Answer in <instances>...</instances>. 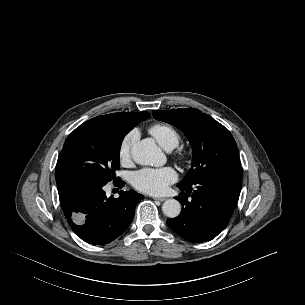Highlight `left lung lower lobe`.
I'll return each instance as SVG.
<instances>
[{"mask_svg": "<svg viewBox=\"0 0 305 305\" xmlns=\"http://www.w3.org/2000/svg\"><path fill=\"white\" fill-rule=\"evenodd\" d=\"M177 187L182 192L175 199L182 204V212L168 219L167 225L187 241H210L226 227L237 205L241 170L216 172Z\"/></svg>", "mask_w": 305, "mask_h": 305, "instance_id": "0a47b994", "label": "left lung lower lobe"}]
</instances>
